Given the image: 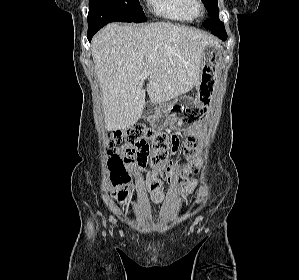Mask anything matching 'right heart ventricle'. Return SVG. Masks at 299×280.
I'll use <instances>...</instances> for the list:
<instances>
[{
  "mask_svg": "<svg viewBox=\"0 0 299 280\" xmlns=\"http://www.w3.org/2000/svg\"><path fill=\"white\" fill-rule=\"evenodd\" d=\"M152 11L165 19L191 23L197 18L195 0H148Z\"/></svg>",
  "mask_w": 299,
  "mask_h": 280,
  "instance_id": "right-heart-ventricle-1",
  "label": "right heart ventricle"
}]
</instances>
